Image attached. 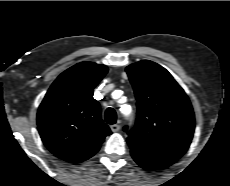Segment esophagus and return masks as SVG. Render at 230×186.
Here are the masks:
<instances>
[{
	"label": "esophagus",
	"mask_w": 230,
	"mask_h": 186,
	"mask_svg": "<svg viewBox=\"0 0 230 186\" xmlns=\"http://www.w3.org/2000/svg\"><path fill=\"white\" fill-rule=\"evenodd\" d=\"M112 132H118L121 128V126L119 124H114L110 126Z\"/></svg>",
	"instance_id": "1"
}]
</instances>
